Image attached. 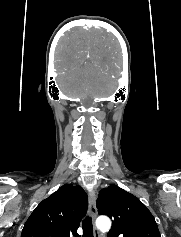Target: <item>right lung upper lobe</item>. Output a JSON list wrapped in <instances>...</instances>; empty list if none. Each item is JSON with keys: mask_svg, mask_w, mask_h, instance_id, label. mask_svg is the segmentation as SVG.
I'll return each instance as SVG.
<instances>
[{"mask_svg": "<svg viewBox=\"0 0 181 237\" xmlns=\"http://www.w3.org/2000/svg\"><path fill=\"white\" fill-rule=\"evenodd\" d=\"M87 207L84 190L65 184L39 203L27 219L21 237H80L77 229Z\"/></svg>", "mask_w": 181, "mask_h": 237, "instance_id": "right-lung-upper-lobe-1", "label": "right lung upper lobe"}]
</instances>
